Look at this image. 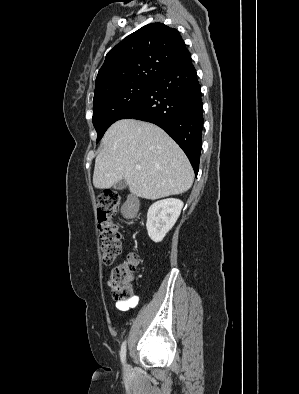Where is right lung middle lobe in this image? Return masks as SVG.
<instances>
[{"mask_svg":"<svg viewBox=\"0 0 299 394\" xmlns=\"http://www.w3.org/2000/svg\"><path fill=\"white\" fill-rule=\"evenodd\" d=\"M150 85L145 82L128 83L94 95L92 122L97 140L137 103Z\"/></svg>","mask_w":299,"mask_h":394,"instance_id":"obj_1","label":"right lung middle lobe"}]
</instances>
